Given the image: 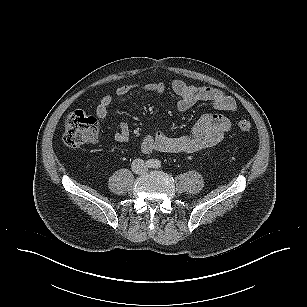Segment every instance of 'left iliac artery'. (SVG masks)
I'll list each match as a JSON object with an SVG mask.
<instances>
[{
  "instance_id": "1",
  "label": "left iliac artery",
  "mask_w": 307,
  "mask_h": 307,
  "mask_svg": "<svg viewBox=\"0 0 307 307\" xmlns=\"http://www.w3.org/2000/svg\"><path fill=\"white\" fill-rule=\"evenodd\" d=\"M154 167H155L156 169L160 168V167H161V161L155 160V161H154Z\"/></svg>"
}]
</instances>
